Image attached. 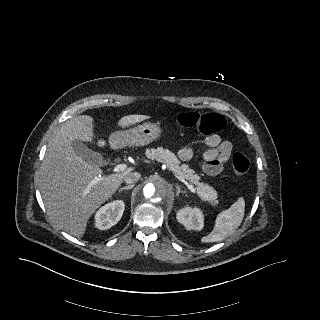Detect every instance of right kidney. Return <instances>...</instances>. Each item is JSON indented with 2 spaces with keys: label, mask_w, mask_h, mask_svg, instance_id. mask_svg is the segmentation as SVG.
<instances>
[{
  "label": "right kidney",
  "mask_w": 320,
  "mask_h": 320,
  "mask_svg": "<svg viewBox=\"0 0 320 320\" xmlns=\"http://www.w3.org/2000/svg\"><path fill=\"white\" fill-rule=\"evenodd\" d=\"M125 209L122 200H116L102 206L95 215V226L100 230H107L117 224Z\"/></svg>",
  "instance_id": "right-kidney-1"
}]
</instances>
